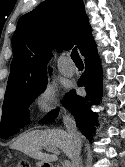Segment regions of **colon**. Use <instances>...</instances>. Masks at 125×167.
I'll return each instance as SVG.
<instances>
[{"label": "colon", "instance_id": "colon-1", "mask_svg": "<svg viewBox=\"0 0 125 167\" xmlns=\"http://www.w3.org/2000/svg\"><path fill=\"white\" fill-rule=\"evenodd\" d=\"M15 167H31V164L26 160H22Z\"/></svg>", "mask_w": 125, "mask_h": 167}]
</instances>
